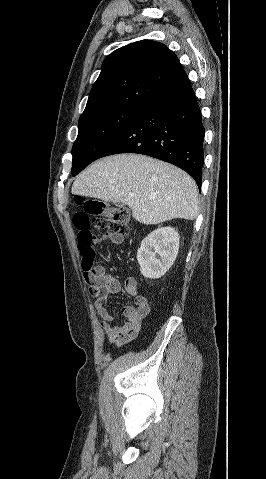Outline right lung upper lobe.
I'll return each instance as SVG.
<instances>
[{
    "instance_id": "obj_1",
    "label": "right lung upper lobe",
    "mask_w": 266,
    "mask_h": 479,
    "mask_svg": "<svg viewBox=\"0 0 266 479\" xmlns=\"http://www.w3.org/2000/svg\"><path fill=\"white\" fill-rule=\"evenodd\" d=\"M189 81L177 56L164 44L141 40L107 56L80 118L114 109H143Z\"/></svg>"
}]
</instances>
